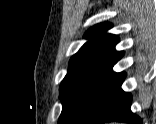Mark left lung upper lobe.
<instances>
[{"label":"left lung upper lobe","mask_w":156,"mask_h":124,"mask_svg":"<svg viewBox=\"0 0 156 124\" xmlns=\"http://www.w3.org/2000/svg\"><path fill=\"white\" fill-rule=\"evenodd\" d=\"M109 23L90 28V38L71 58L68 73L60 85L62 112L58 124H78L95 97L114 74L112 67L123 56L115 51L118 38L106 34Z\"/></svg>","instance_id":"left-lung-upper-lobe-1"}]
</instances>
